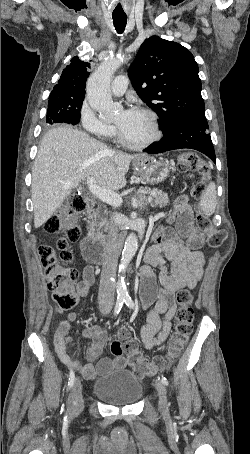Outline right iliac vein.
Returning a JSON list of instances; mask_svg holds the SVG:
<instances>
[{"instance_id": "obj_1", "label": "right iliac vein", "mask_w": 250, "mask_h": 454, "mask_svg": "<svg viewBox=\"0 0 250 454\" xmlns=\"http://www.w3.org/2000/svg\"><path fill=\"white\" fill-rule=\"evenodd\" d=\"M104 314L108 312V309L102 311ZM68 408L72 414L79 413L84 408V400L82 396V386L79 379H76L73 389L68 397Z\"/></svg>"}]
</instances>
